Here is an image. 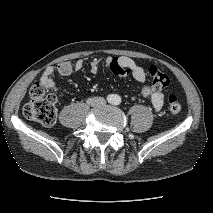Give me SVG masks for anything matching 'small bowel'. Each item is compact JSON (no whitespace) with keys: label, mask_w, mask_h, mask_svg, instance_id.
Wrapping results in <instances>:
<instances>
[{"label":"small bowel","mask_w":213,"mask_h":213,"mask_svg":"<svg viewBox=\"0 0 213 213\" xmlns=\"http://www.w3.org/2000/svg\"><path fill=\"white\" fill-rule=\"evenodd\" d=\"M114 61H118L121 64L128 65L130 67V74L131 76L139 83L144 84L146 82V72L145 70L137 65L133 60L127 57H107L104 61V64L107 68L111 69L112 63ZM75 70H81L84 66V63L82 60H77L74 64ZM90 72L92 74H95L98 72L99 69V61L93 60L90 65ZM55 72L54 66H48L42 76H41V84L44 85L47 88L56 90V83L53 78V74ZM141 94L144 97H148L152 103V106L155 111H160L164 105V95L161 91L154 89L151 86H143L141 89Z\"/></svg>","instance_id":"c3829d8e"}]
</instances>
